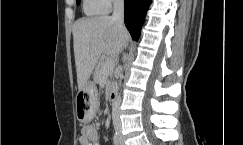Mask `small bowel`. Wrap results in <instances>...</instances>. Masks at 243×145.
<instances>
[{
  "instance_id": "1",
  "label": "small bowel",
  "mask_w": 243,
  "mask_h": 145,
  "mask_svg": "<svg viewBox=\"0 0 243 145\" xmlns=\"http://www.w3.org/2000/svg\"><path fill=\"white\" fill-rule=\"evenodd\" d=\"M78 142L80 145H100L95 127L90 125L83 127Z\"/></svg>"
}]
</instances>
